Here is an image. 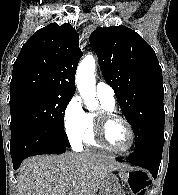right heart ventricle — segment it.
Returning a JSON list of instances; mask_svg holds the SVG:
<instances>
[{
    "instance_id": "e07e8e85",
    "label": "right heart ventricle",
    "mask_w": 178,
    "mask_h": 195,
    "mask_svg": "<svg viewBox=\"0 0 178 195\" xmlns=\"http://www.w3.org/2000/svg\"><path fill=\"white\" fill-rule=\"evenodd\" d=\"M100 104H101V110H110L113 111L115 104H110L102 99L99 98ZM95 116L91 113L87 114V123H88V130L85 136V142L87 145L92 146V147H101L99 143L95 139L94 135V127H95V122H94Z\"/></svg>"
}]
</instances>
